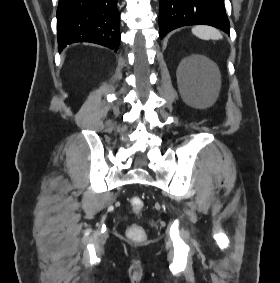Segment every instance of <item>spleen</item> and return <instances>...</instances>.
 Here are the masks:
<instances>
[{
  "mask_svg": "<svg viewBox=\"0 0 280 283\" xmlns=\"http://www.w3.org/2000/svg\"><path fill=\"white\" fill-rule=\"evenodd\" d=\"M192 33L204 40H220L223 38L219 30L211 26L198 25L192 28Z\"/></svg>",
  "mask_w": 280,
  "mask_h": 283,
  "instance_id": "obj_1",
  "label": "spleen"
}]
</instances>
